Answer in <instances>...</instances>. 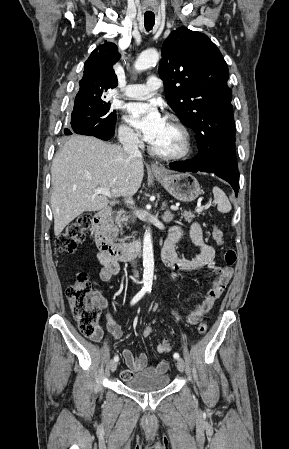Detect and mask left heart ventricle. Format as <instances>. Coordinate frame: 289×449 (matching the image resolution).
<instances>
[{
    "mask_svg": "<svg viewBox=\"0 0 289 449\" xmlns=\"http://www.w3.org/2000/svg\"><path fill=\"white\" fill-rule=\"evenodd\" d=\"M150 144L159 152L173 153L180 150L182 146V138L180 133L165 121L164 127L156 139Z\"/></svg>",
    "mask_w": 289,
    "mask_h": 449,
    "instance_id": "1",
    "label": "left heart ventricle"
}]
</instances>
